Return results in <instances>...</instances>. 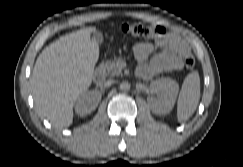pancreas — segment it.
<instances>
[{
	"mask_svg": "<svg viewBox=\"0 0 243 167\" xmlns=\"http://www.w3.org/2000/svg\"><path fill=\"white\" fill-rule=\"evenodd\" d=\"M122 61L123 60L121 58H119L114 61H107V62L103 63L102 68H103L104 72L106 73V75L110 76V77L120 75L122 72V68L120 66Z\"/></svg>",
	"mask_w": 243,
	"mask_h": 167,
	"instance_id": "cf45deb5",
	"label": "pancreas"
}]
</instances>
